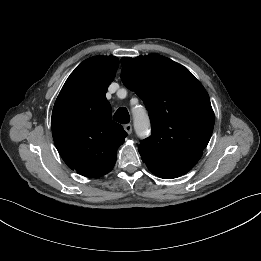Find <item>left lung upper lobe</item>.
Listing matches in <instances>:
<instances>
[{
    "label": "left lung upper lobe",
    "mask_w": 261,
    "mask_h": 261,
    "mask_svg": "<svg viewBox=\"0 0 261 261\" xmlns=\"http://www.w3.org/2000/svg\"><path fill=\"white\" fill-rule=\"evenodd\" d=\"M123 83L143 100L152 136L138 151L148 169L183 175L202 156L214 112L202 84L184 66L158 54L121 59Z\"/></svg>",
    "instance_id": "left-lung-upper-lobe-1"
}]
</instances>
